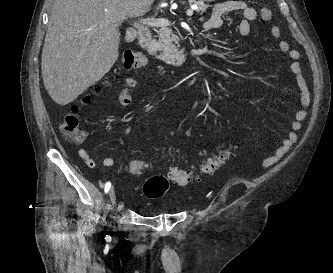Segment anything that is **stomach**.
I'll return each mask as SVG.
<instances>
[{
    "label": "stomach",
    "instance_id": "0dacf381",
    "mask_svg": "<svg viewBox=\"0 0 333 273\" xmlns=\"http://www.w3.org/2000/svg\"><path fill=\"white\" fill-rule=\"evenodd\" d=\"M204 1H206V2H213V1H215V0H204Z\"/></svg>",
    "mask_w": 333,
    "mask_h": 273
}]
</instances>
